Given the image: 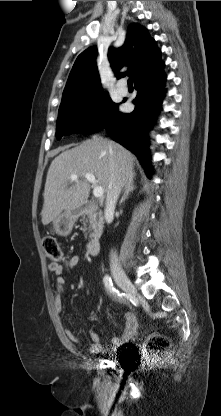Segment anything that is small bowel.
Returning a JSON list of instances; mask_svg holds the SVG:
<instances>
[{
  "instance_id": "c3829d8e",
  "label": "small bowel",
  "mask_w": 221,
  "mask_h": 416,
  "mask_svg": "<svg viewBox=\"0 0 221 416\" xmlns=\"http://www.w3.org/2000/svg\"><path fill=\"white\" fill-rule=\"evenodd\" d=\"M80 263V257L77 255L70 256L66 258L63 263H49L48 270L55 275V308L57 311L61 312L65 308L64 302V284L65 280L62 277L65 270L76 268ZM125 328L121 335L113 338L112 345L109 348L110 351H115L124 345L128 344L134 337L137 329V319L132 313H126L124 315ZM66 334L68 338L77 342L79 340L78 335L71 331L67 330ZM90 340L91 343L88 346V351L93 354L102 353L105 351L103 345L101 344V337L98 332L90 331Z\"/></svg>"
}]
</instances>
